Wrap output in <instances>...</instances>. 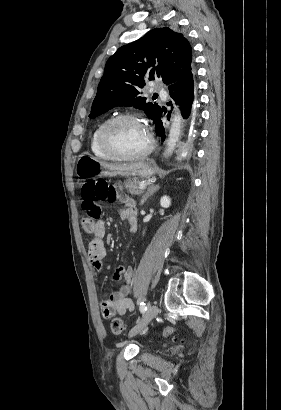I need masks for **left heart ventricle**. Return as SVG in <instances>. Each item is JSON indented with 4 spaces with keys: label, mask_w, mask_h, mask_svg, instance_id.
I'll use <instances>...</instances> for the list:
<instances>
[{
    "label": "left heart ventricle",
    "mask_w": 281,
    "mask_h": 410,
    "mask_svg": "<svg viewBox=\"0 0 281 410\" xmlns=\"http://www.w3.org/2000/svg\"><path fill=\"white\" fill-rule=\"evenodd\" d=\"M111 145L124 154L138 153L148 145V135L142 124L123 120L118 122L109 135Z\"/></svg>",
    "instance_id": "obj_1"
}]
</instances>
